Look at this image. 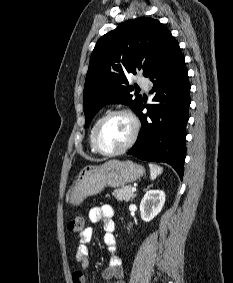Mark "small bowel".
<instances>
[{
	"instance_id": "1",
	"label": "small bowel",
	"mask_w": 233,
	"mask_h": 283,
	"mask_svg": "<svg viewBox=\"0 0 233 283\" xmlns=\"http://www.w3.org/2000/svg\"><path fill=\"white\" fill-rule=\"evenodd\" d=\"M114 209L110 205L94 207L89 211V220L92 223L101 222L105 231L103 241L111 253L109 265L103 270L102 276L105 280H113L114 283H124L121 259L116 255V239L113 234L115 225L113 221ZM93 229L87 227L80 235L77 246L76 261L82 270L88 267L89 244L92 240ZM73 283H85L81 270L75 271L72 275Z\"/></svg>"
}]
</instances>
